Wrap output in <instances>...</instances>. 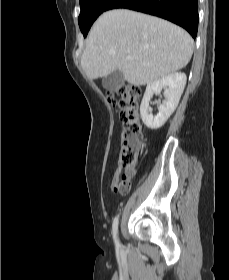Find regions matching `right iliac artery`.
<instances>
[{
  "label": "right iliac artery",
  "instance_id": "obj_1",
  "mask_svg": "<svg viewBox=\"0 0 229 280\" xmlns=\"http://www.w3.org/2000/svg\"><path fill=\"white\" fill-rule=\"evenodd\" d=\"M117 229H118V217H115L114 221H113V225H112V231H113V238L116 244V247L119 248V242L117 240Z\"/></svg>",
  "mask_w": 229,
  "mask_h": 280
}]
</instances>
